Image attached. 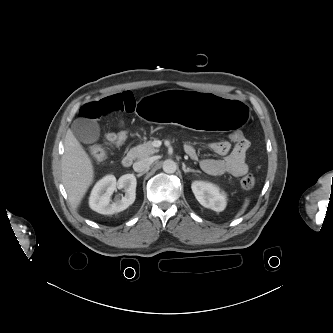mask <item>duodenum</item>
Here are the masks:
<instances>
[{
    "label": "duodenum",
    "instance_id": "obj_1",
    "mask_svg": "<svg viewBox=\"0 0 333 333\" xmlns=\"http://www.w3.org/2000/svg\"><path fill=\"white\" fill-rule=\"evenodd\" d=\"M132 163H133V156L132 155L128 154V155L123 157V159H122L123 167L128 168L132 165Z\"/></svg>",
    "mask_w": 333,
    "mask_h": 333
}]
</instances>
